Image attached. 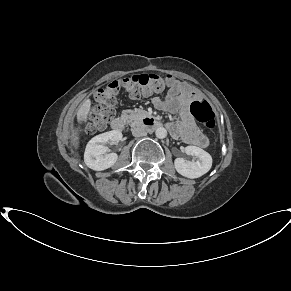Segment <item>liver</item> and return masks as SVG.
<instances>
[{
	"instance_id": "liver-1",
	"label": "liver",
	"mask_w": 291,
	"mask_h": 291,
	"mask_svg": "<svg viewBox=\"0 0 291 291\" xmlns=\"http://www.w3.org/2000/svg\"><path fill=\"white\" fill-rule=\"evenodd\" d=\"M93 111L94 108L91 107V101L89 99L85 100L77 112L78 123L81 124L83 122H87Z\"/></svg>"
}]
</instances>
